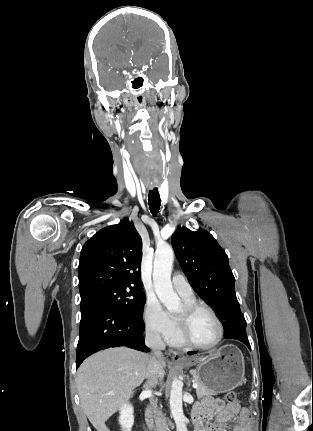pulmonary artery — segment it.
Wrapping results in <instances>:
<instances>
[{"label": "pulmonary artery", "mask_w": 313, "mask_h": 431, "mask_svg": "<svg viewBox=\"0 0 313 431\" xmlns=\"http://www.w3.org/2000/svg\"><path fill=\"white\" fill-rule=\"evenodd\" d=\"M172 284L175 291L183 298H194V291L191 285L182 274H174Z\"/></svg>", "instance_id": "1"}]
</instances>
